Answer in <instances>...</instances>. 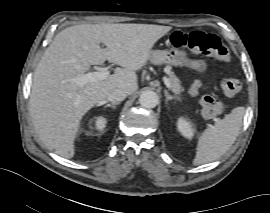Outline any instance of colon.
<instances>
[{
  "instance_id": "5ec220e1",
  "label": "colon",
  "mask_w": 270,
  "mask_h": 213,
  "mask_svg": "<svg viewBox=\"0 0 270 213\" xmlns=\"http://www.w3.org/2000/svg\"><path fill=\"white\" fill-rule=\"evenodd\" d=\"M172 43L176 47H186L193 54H202L212 57L220 62H227L230 52L225 43L215 34H206L200 31L190 33L175 32ZM221 87L228 97L236 96L241 88L240 82L235 78H225L221 81ZM202 113L206 117L220 114L225 108V102L206 95L201 100Z\"/></svg>"
}]
</instances>
